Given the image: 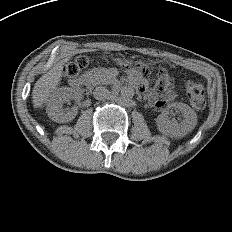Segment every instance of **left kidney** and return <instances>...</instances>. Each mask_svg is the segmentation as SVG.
Masks as SVG:
<instances>
[{
  "label": "left kidney",
  "mask_w": 232,
  "mask_h": 232,
  "mask_svg": "<svg viewBox=\"0 0 232 232\" xmlns=\"http://www.w3.org/2000/svg\"><path fill=\"white\" fill-rule=\"evenodd\" d=\"M170 109L179 110L182 113L183 120L178 123L176 120H170ZM197 124L196 112L187 104L182 102L171 103L167 110L160 114L156 119L158 130L169 137L181 138L191 132Z\"/></svg>",
  "instance_id": "1"
}]
</instances>
